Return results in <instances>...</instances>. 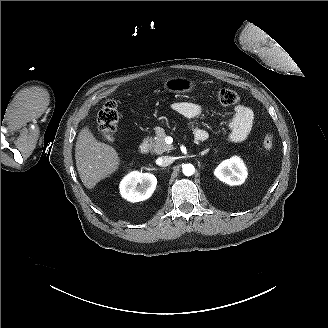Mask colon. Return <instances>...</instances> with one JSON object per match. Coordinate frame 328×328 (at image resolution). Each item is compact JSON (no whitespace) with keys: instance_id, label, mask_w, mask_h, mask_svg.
Instances as JSON below:
<instances>
[{"instance_id":"1","label":"colon","mask_w":328,"mask_h":328,"mask_svg":"<svg viewBox=\"0 0 328 328\" xmlns=\"http://www.w3.org/2000/svg\"><path fill=\"white\" fill-rule=\"evenodd\" d=\"M217 100L221 105L229 106L238 102L239 96L231 89L222 88L217 91ZM118 120L119 112L117 103L115 101L104 103L98 113L97 122L101 136L105 141L111 142L113 140ZM273 145L272 135L270 133L265 134L262 141L264 150H272Z\"/></svg>"}]
</instances>
